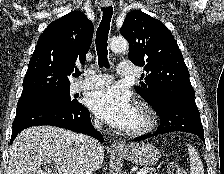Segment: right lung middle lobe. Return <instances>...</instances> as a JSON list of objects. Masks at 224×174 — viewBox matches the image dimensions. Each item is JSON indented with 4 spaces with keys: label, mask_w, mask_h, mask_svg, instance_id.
Here are the masks:
<instances>
[{
    "label": "right lung middle lobe",
    "mask_w": 224,
    "mask_h": 174,
    "mask_svg": "<svg viewBox=\"0 0 224 174\" xmlns=\"http://www.w3.org/2000/svg\"><path fill=\"white\" fill-rule=\"evenodd\" d=\"M70 86H57V85H47L39 90H36L31 93L21 94V96L25 95H46L56 97L63 103L67 105H71L75 103V100H72L69 93Z\"/></svg>",
    "instance_id": "dd1d6c3e"
}]
</instances>
